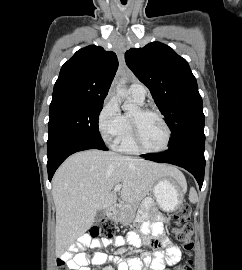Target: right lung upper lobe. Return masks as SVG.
Returning a JSON list of instances; mask_svg holds the SVG:
<instances>
[{"label": "right lung upper lobe", "mask_w": 242, "mask_h": 270, "mask_svg": "<svg viewBox=\"0 0 242 270\" xmlns=\"http://www.w3.org/2000/svg\"><path fill=\"white\" fill-rule=\"evenodd\" d=\"M117 68L114 52L95 45L78 50L62 66L50 106L103 102Z\"/></svg>", "instance_id": "obj_1"}]
</instances>
